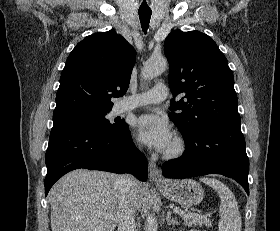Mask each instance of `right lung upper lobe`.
I'll return each instance as SVG.
<instances>
[{
    "mask_svg": "<svg viewBox=\"0 0 280 231\" xmlns=\"http://www.w3.org/2000/svg\"><path fill=\"white\" fill-rule=\"evenodd\" d=\"M135 50L114 30L87 36L67 58L53 124L110 112L129 86Z\"/></svg>",
    "mask_w": 280,
    "mask_h": 231,
    "instance_id": "cb5924a9",
    "label": "right lung upper lobe"
}]
</instances>
